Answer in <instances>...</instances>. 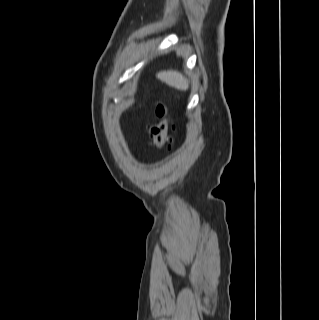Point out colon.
I'll list each match as a JSON object with an SVG mask.
<instances>
[{"mask_svg":"<svg viewBox=\"0 0 319 320\" xmlns=\"http://www.w3.org/2000/svg\"><path fill=\"white\" fill-rule=\"evenodd\" d=\"M156 116L157 122L150 128L152 143L157 149H164L170 146L174 126L168 118L167 108L161 103L156 107Z\"/></svg>","mask_w":319,"mask_h":320,"instance_id":"5ec220e1","label":"colon"}]
</instances>
